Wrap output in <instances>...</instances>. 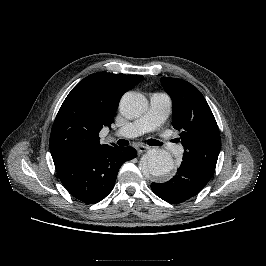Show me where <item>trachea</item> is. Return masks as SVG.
Instances as JSON below:
<instances>
[{"label": "trachea", "instance_id": "1", "mask_svg": "<svg viewBox=\"0 0 266 266\" xmlns=\"http://www.w3.org/2000/svg\"><path fill=\"white\" fill-rule=\"evenodd\" d=\"M149 143H150V145H152V146H160V145H162V142H159V141H157V140H155V139H150V140H149ZM128 144H129V142L126 141V140H124V139H120V140H118V145H119V146H127Z\"/></svg>", "mask_w": 266, "mask_h": 266}]
</instances>
